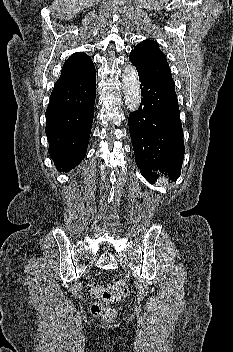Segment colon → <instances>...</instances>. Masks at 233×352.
Masks as SVG:
<instances>
[{
    "label": "colon",
    "instance_id": "5ec220e1",
    "mask_svg": "<svg viewBox=\"0 0 233 352\" xmlns=\"http://www.w3.org/2000/svg\"><path fill=\"white\" fill-rule=\"evenodd\" d=\"M129 292L128 285L120 280H115L108 286L92 283L89 285V293L94 301L91 303L90 310L94 315L103 314L111 318L114 312L110 306L127 298Z\"/></svg>",
    "mask_w": 233,
    "mask_h": 352
}]
</instances>
